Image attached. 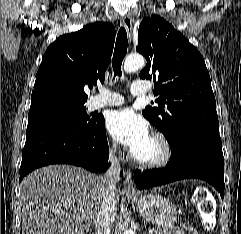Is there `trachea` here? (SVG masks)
Wrapping results in <instances>:
<instances>
[{
  "mask_svg": "<svg viewBox=\"0 0 241 234\" xmlns=\"http://www.w3.org/2000/svg\"><path fill=\"white\" fill-rule=\"evenodd\" d=\"M127 47H128V39H127V32L124 27H121L119 29V32L117 34L114 54H113V70H114V76H122L121 71V65L122 61L127 53Z\"/></svg>",
  "mask_w": 241,
  "mask_h": 234,
  "instance_id": "trachea-1",
  "label": "trachea"
}]
</instances>
